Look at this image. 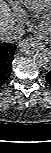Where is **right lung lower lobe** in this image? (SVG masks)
Masks as SVG:
<instances>
[{
  "instance_id": "1",
  "label": "right lung lower lobe",
  "mask_w": 51,
  "mask_h": 153,
  "mask_svg": "<svg viewBox=\"0 0 51 153\" xmlns=\"http://www.w3.org/2000/svg\"><path fill=\"white\" fill-rule=\"evenodd\" d=\"M15 44L0 43V87L8 80L12 70Z\"/></svg>"
}]
</instances>
